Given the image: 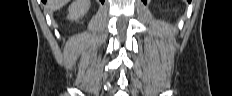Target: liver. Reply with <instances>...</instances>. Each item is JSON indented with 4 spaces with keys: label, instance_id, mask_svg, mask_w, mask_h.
Segmentation results:
<instances>
[{
    "label": "liver",
    "instance_id": "6515ba94",
    "mask_svg": "<svg viewBox=\"0 0 232 96\" xmlns=\"http://www.w3.org/2000/svg\"><path fill=\"white\" fill-rule=\"evenodd\" d=\"M69 0H48L47 7L51 11H55L67 4Z\"/></svg>",
    "mask_w": 232,
    "mask_h": 96
}]
</instances>
